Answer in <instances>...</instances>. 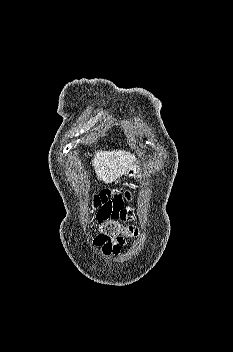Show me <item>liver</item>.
I'll return each mask as SVG.
<instances>
[{
	"label": "liver",
	"instance_id": "obj_1",
	"mask_svg": "<svg viewBox=\"0 0 233 352\" xmlns=\"http://www.w3.org/2000/svg\"><path fill=\"white\" fill-rule=\"evenodd\" d=\"M135 160V155L129 152L114 150L98 151L92 162L98 179L108 184L126 174Z\"/></svg>",
	"mask_w": 233,
	"mask_h": 352
}]
</instances>
